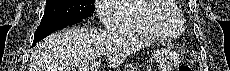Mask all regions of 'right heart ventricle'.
Returning <instances> with one entry per match:
<instances>
[{"label":"right heart ventricle","mask_w":230,"mask_h":71,"mask_svg":"<svg viewBox=\"0 0 230 71\" xmlns=\"http://www.w3.org/2000/svg\"><path fill=\"white\" fill-rule=\"evenodd\" d=\"M120 15L113 30L130 35L173 39L181 35L183 20L175 1H125L114 7Z\"/></svg>","instance_id":"e07e8e85"}]
</instances>
